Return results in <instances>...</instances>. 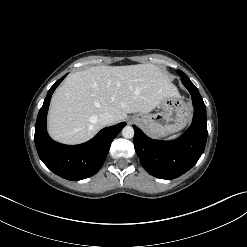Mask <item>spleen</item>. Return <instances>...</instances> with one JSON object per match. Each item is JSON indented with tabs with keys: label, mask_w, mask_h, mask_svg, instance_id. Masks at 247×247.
Here are the masks:
<instances>
[{
	"label": "spleen",
	"mask_w": 247,
	"mask_h": 247,
	"mask_svg": "<svg viewBox=\"0 0 247 247\" xmlns=\"http://www.w3.org/2000/svg\"><path fill=\"white\" fill-rule=\"evenodd\" d=\"M177 137H179V134L178 135H173V136L167 138L166 140H173V139H176Z\"/></svg>",
	"instance_id": "1"
}]
</instances>
